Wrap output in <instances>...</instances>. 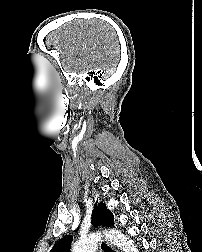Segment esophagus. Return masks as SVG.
Instances as JSON below:
<instances>
[{"mask_svg":"<svg viewBox=\"0 0 202 252\" xmlns=\"http://www.w3.org/2000/svg\"><path fill=\"white\" fill-rule=\"evenodd\" d=\"M101 252H115V250L113 246L106 239H103L101 241Z\"/></svg>","mask_w":202,"mask_h":252,"instance_id":"34e87169","label":"esophagus"}]
</instances>
